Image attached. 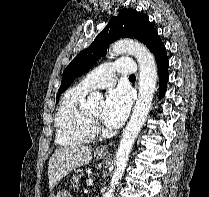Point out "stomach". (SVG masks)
<instances>
[{"mask_svg": "<svg viewBox=\"0 0 209 197\" xmlns=\"http://www.w3.org/2000/svg\"><path fill=\"white\" fill-rule=\"evenodd\" d=\"M95 156L98 159H104L107 157V154L95 153ZM49 197H71V195L67 191H59L56 194L52 193Z\"/></svg>", "mask_w": 209, "mask_h": 197, "instance_id": "0dacf381", "label": "stomach"}]
</instances>
